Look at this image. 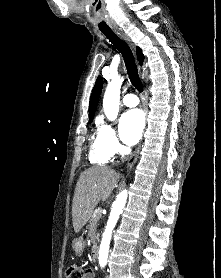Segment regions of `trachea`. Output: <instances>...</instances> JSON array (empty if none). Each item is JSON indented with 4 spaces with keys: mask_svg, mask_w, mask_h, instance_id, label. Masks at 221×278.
<instances>
[{
    "mask_svg": "<svg viewBox=\"0 0 221 278\" xmlns=\"http://www.w3.org/2000/svg\"><path fill=\"white\" fill-rule=\"evenodd\" d=\"M101 32L109 39V41L118 49L122 54L127 73L132 85L140 92L143 90V85L140 80L135 59L130 47L121 40L112 30H101Z\"/></svg>",
    "mask_w": 221,
    "mask_h": 278,
    "instance_id": "3493384b",
    "label": "trachea"
}]
</instances>
